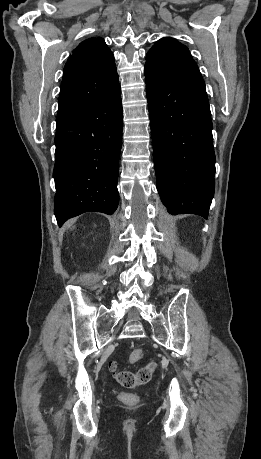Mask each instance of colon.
Segmentation results:
<instances>
[{
    "label": "colon",
    "instance_id": "colon-1",
    "mask_svg": "<svg viewBox=\"0 0 261 459\" xmlns=\"http://www.w3.org/2000/svg\"><path fill=\"white\" fill-rule=\"evenodd\" d=\"M143 357V351L141 349H134L129 355V360L133 363L138 362ZM110 370L115 374L117 382L125 388H134L138 385L146 384L150 381L154 371L157 368V363L152 361L146 366L140 368L137 372L129 370H117L115 362H110ZM120 398L125 403H132L135 400L133 394L121 393Z\"/></svg>",
    "mask_w": 261,
    "mask_h": 459
}]
</instances>
